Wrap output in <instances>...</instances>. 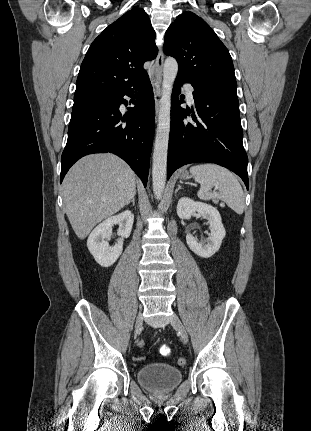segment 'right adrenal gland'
<instances>
[{
  "instance_id": "right-adrenal-gland-1",
  "label": "right adrenal gland",
  "mask_w": 311,
  "mask_h": 431,
  "mask_svg": "<svg viewBox=\"0 0 311 431\" xmlns=\"http://www.w3.org/2000/svg\"><path fill=\"white\" fill-rule=\"evenodd\" d=\"M132 202V206H135V196H133V198H131L129 204H131ZM129 204H126V206H129Z\"/></svg>"
}]
</instances>
